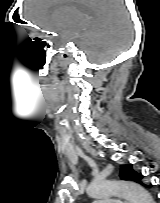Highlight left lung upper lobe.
<instances>
[{"instance_id":"1","label":"left lung upper lobe","mask_w":160,"mask_h":203,"mask_svg":"<svg viewBox=\"0 0 160 203\" xmlns=\"http://www.w3.org/2000/svg\"><path fill=\"white\" fill-rule=\"evenodd\" d=\"M119 176L123 180H133V181H140L143 177L142 174H139L132 169L131 164L122 165ZM141 184L144 185L143 183Z\"/></svg>"}]
</instances>
